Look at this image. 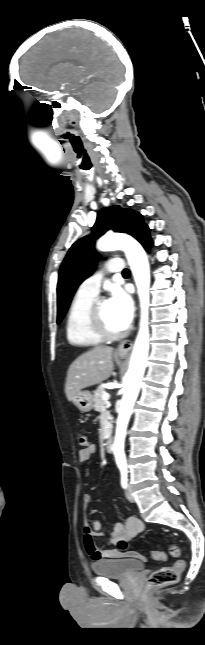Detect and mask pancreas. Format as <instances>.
I'll use <instances>...</instances> for the list:
<instances>
[{"label":"pancreas","mask_w":205,"mask_h":645,"mask_svg":"<svg viewBox=\"0 0 205 645\" xmlns=\"http://www.w3.org/2000/svg\"><path fill=\"white\" fill-rule=\"evenodd\" d=\"M105 389L101 386H99L95 391H94V408L96 411L101 412L105 408V401L102 399V395L105 393Z\"/></svg>","instance_id":"cf45deb5"}]
</instances>
